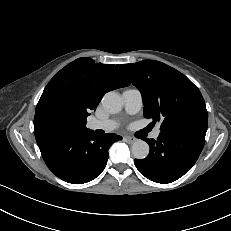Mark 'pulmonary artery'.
I'll return each instance as SVG.
<instances>
[{
  "mask_svg": "<svg viewBox=\"0 0 231 231\" xmlns=\"http://www.w3.org/2000/svg\"><path fill=\"white\" fill-rule=\"evenodd\" d=\"M122 98L124 102L125 111L129 114L138 113L143 105L142 93L137 88H129L123 91ZM89 128L96 130L102 129L105 131H111L118 126V123L111 119L99 120L94 119L89 122ZM160 133L159 128L155 129L152 136L153 138H158Z\"/></svg>",
  "mask_w": 231,
  "mask_h": 231,
  "instance_id": "1",
  "label": "pulmonary artery"
}]
</instances>
